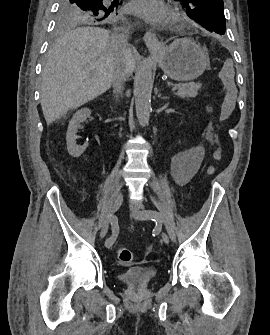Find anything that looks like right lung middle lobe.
<instances>
[{"instance_id": "obj_1", "label": "right lung middle lobe", "mask_w": 270, "mask_h": 335, "mask_svg": "<svg viewBox=\"0 0 270 335\" xmlns=\"http://www.w3.org/2000/svg\"><path fill=\"white\" fill-rule=\"evenodd\" d=\"M103 0H60L57 12V27L65 30L90 23H111L118 15L117 9L123 2L114 0L105 7ZM111 13L110 17L108 15Z\"/></svg>"}]
</instances>
